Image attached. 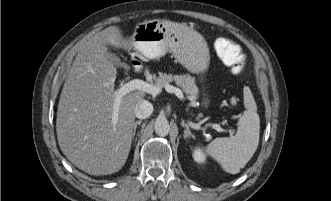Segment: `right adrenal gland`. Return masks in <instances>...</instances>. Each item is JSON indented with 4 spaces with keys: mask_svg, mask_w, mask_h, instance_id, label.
<instances>
[{
    "mask_svg": "<svg viewBox=\"0 0 331 201\" xmlns=\"http://www.w3.org/2000/svg\"><path fill=\"white\" fill-rule=\"evenodd\" d=\"M141 123H142L141 120L136 121V122L134 123V128H133V139H134V144H135L136 141H137V138H134V136H135V134H136V128H137L138 125H141ZM137 136H138V135H137Z\"/></svg>",
    "mask_w": 331,
    "mask_h": 201,
    "instance_id": "right-adrenal-gland-1",
    "label": "right adrenal gland"
}]
</instances>
